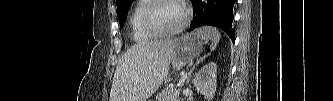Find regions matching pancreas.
I'll return each mask as SVG.
<instances>
[{
	"label": "pancreas",
	"mask_w": 333,
	"mask_h": 101,
	"mask_svg": "<svg viewBox=\"0 0 333 101\" xmlns=\"http://www.w3.org/2000/svg\"><path fill=\"white\" fill-rule=\"evenodd\" d=\"M180 88H176L173 85H169L164 88L157 96V101H177L180 95Z\"/></svg>",
	"instance_id": "obj_1"
}]
</instances>
